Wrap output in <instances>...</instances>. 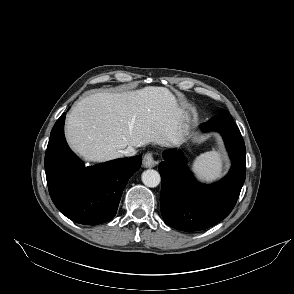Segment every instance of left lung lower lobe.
Wrapping results in <instances>:
<instances>
[{
  "label": "left lung lower lobe",
  "mask_w": 294,
  "mask_h": 294,
  "mask_svg": "<svg viewBox=\"0 0 294 294\" xmlns=\"http://www.w3.org/2000/svg\"><path fill=\"white\" fill-rule=\"evenodd\" d=\"M202 127L223 136L232 159L227 176L212 185L198 183L178 152L165 151L159 164L162 179L161 213L166 224L181 231L209 228L234 208L246 176V151L241 133L230 114H219Z\"/></svg>",
  "instance_id": "obj_1"
}]
</instances>
